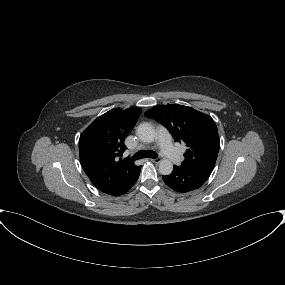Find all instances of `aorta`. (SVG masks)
Returning <instances> with one entry per match:
<instances>
[{
  "label": "aorta",
  "instance_id": "762f6f07",
  "mask_svg": "<svg viewBox=\"0 0 285 285\" xmlns=\"http://www.w3.org/2000/svg\"><path fill=\"white\" fill-rule=\"evenodd\" d=\"M137 136L142 142L151 143L155 139V130L149 123H142L137 127ZM173 171V164L169 159L159 161V172L162 175H169Z\"/></svg>",
  "mask_w": 285,
  "mask_h": 285
}]
</instances>
